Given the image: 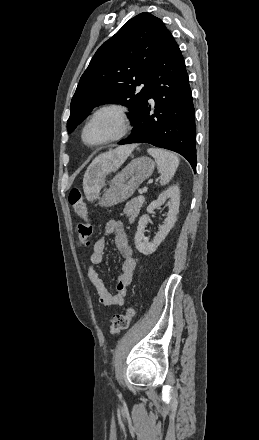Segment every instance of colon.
I'll return each instance as SVG.
<instances>
[{
	"label": "colon",
	"instance_id": "5ec220e1",
	"mask_svg": "<svg viewBox=\"0 0 259 440\" xmlns=\"http://www.w3.org/2000/svg\"><path fill=\"white\" fill-rule=\"evenodd\" d=\"M69 203L73 206L75 212L80 218L77 224L79 242L82 245L88 246L93 238V225L89 219L86 204L82 198V194L78 188H73L69 193ZM136 311L133 306L126 308L123 314L115 315L110 320V330L114 334L121 333L126 330Z\"/></svg>",
	"mask_w": 259,
	"mask_h": 440
}]
</instances>
